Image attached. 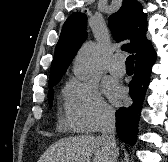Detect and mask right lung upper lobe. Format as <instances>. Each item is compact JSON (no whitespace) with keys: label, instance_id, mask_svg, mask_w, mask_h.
Returning <instances> with one entry per match:
<instances>
[{"label":"right lung upper lobe","instance_id":"cb5924a9","mask_svg":"<svg viewBox=\"0 0 168 162\" xmlns=\"http://www.w3.org/2000/svg\"><path fill=\"white\" fill-rule=\"evenodd\" d=\"M110 29L117 41L131 39L122 49L134 52L136 60L154 51L146 39L147 16L137 0H123L121 8L109 17ZM87 17L73 13L65 21L51 65L49 84L60 81L71 60L86 40Z\"/></svg>","mask_w":168,"mask_h":162}]
</instances>
